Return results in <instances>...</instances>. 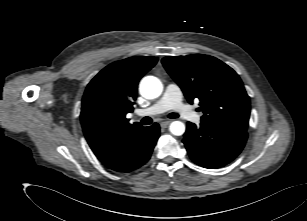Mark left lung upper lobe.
I'll return each instance as SVG.
<instances>
[{"mask_svg":"<svg viewBox=\"0 0 307 221\" xmlns=\"http://www.w3.org/2000/svg\"><path fill=\"white\" fill-rule=\"evenodd\" d=\"M162 63L189 103L200 100L202 123L247 130L250 98L232 68L203 54L167 56Z\"/></svg>","mask_w":307,"mask_h":221,"instance_id":"left-lung-upper-lobe-1","label":"left lung upper lobe"}]
</instances>
